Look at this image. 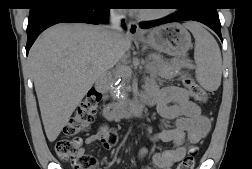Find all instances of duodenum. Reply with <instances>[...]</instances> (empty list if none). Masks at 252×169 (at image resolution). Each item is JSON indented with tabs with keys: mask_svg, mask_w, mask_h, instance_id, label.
<instances>
[{
	"mask_svg": "<svg viewBox=\"0 0 252 169\" xmlns=\"http://www.w3.org/2000/svg\"><path fill=\"white\" fill-rule=\"evenodd\" d=\"M96 89L100 94L106 95L107 90L104 82L100 81L96 84ZM152 100L145 98L135 102H126L122 104H111L104 109V117L107 121H118L129 117L140 115L145 106L150 104Z\"/></svg>",
	"mask_w": 252,
	"mask_h": 169,
	"instance_id": "410a0bca",
	"label": "duodenum"
}]
</instances>
